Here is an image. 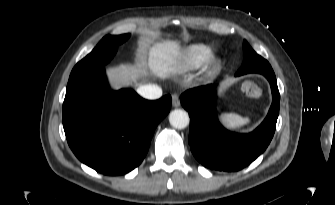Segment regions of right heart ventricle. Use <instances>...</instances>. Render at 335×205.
Returning <instances> with one entry per match:
<instances>
[{
    "label": "right heart ventricle",
    "instance_id": "right-heart-ventricle-1",
    "mask_svg": "<svg viewBox=\"0 0 335 205\" xmlns=\"http://www.w3.org/2000/svg\"><path fill=\"white\" fill-rule=\"evenodd\" d=\"M212 54L213 50L209 45L191 44L180 53L178 65L184 71H191L206 63Z\"/></svg>",
    "mask_w": 335,
    "mask_h": 205
}]
</instances>
